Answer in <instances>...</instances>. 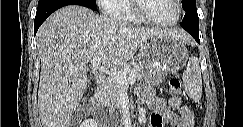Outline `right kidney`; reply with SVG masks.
<instances>
[{"label": "right kidney", "instance_id": "ca27d5eb", "mask_svg": "<svg viewBox=\"0 0 243 127\" xmlns=\"http://www.w3.org/2000/svg\"><path fill=\"white\" fill-rule=\"evenodd\" d=\"M81 127H97V122L94 119H86L81 123Z\"/></svg>", "mask_w": 243, "mask_h": 127}]
</instances>
